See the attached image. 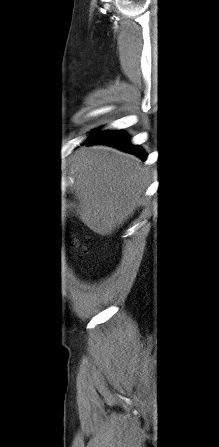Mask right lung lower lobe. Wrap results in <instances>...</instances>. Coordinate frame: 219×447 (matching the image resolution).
<instances>
[{"label": "right lung lower lobe", "mask_w": 219, "mask_h": 447, "mask_svg": "<svg viewBox=\"0 0 219 447\" xmlns=\"http://www.w3.org/2000/svg\"><path fill=\"white\" fill-rule=\"evenodd\" d=\"M97 143L117 147L118 149H121L123 151L135 154L138 157L142 158L143 160H145L147 157L145 152H143V150H141L138 146L132 145L130 142V138L125 133L119 130L104 131L95 134L85 142L86 145L97 144Z\"/></svg>", "instance_id": "right-lung-lower-lobe-1"}]
</instances>
